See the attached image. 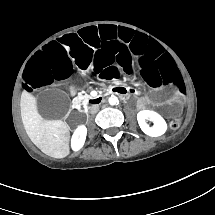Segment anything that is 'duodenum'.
<instances>
[{"label": "duodenum", "instance_id": "obj_1", "mask_svg": "<svg viewBox=\"0 0 215 215\" xmlns=\"http://www.w3.org/2000/svg\"><path fill=\"white\" fill-rule=\"evenodd\" d=\"M112 95L119 96L122 99L126 100L131 96V91L126 87L115 86V87L108 89L106 92L102 93L101 95H99L93 99H90L89 102L93 105H98V104H101L107 97L112 96ZM81 104H82V102L77 100L74 103L73 110L75 112H77L79 110Z\"/></svg>", "mask_w": 215, "mask_h": 215}]
</instances>
